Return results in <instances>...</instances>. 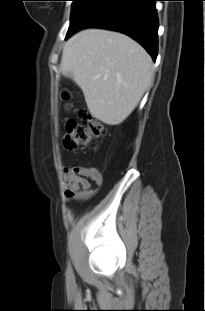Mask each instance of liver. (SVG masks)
Here are the masks:
<instances>
[{"label":"liver","mask_w":205,"mask_h":311,"mask_svg":"<svg viewBox=\"0 0 205 311\" xmlns=\"http://www.w3.org/2000/svg\"><path fill=\"white\" fill-rule=\"evenodd\" d=\"M60 70L81 88L92 117L108 125L122 123L153 80L152 59L130 37L86 29L69 39Z\"/></svg>","instance_id":"6515ba94"}]
</instances>
